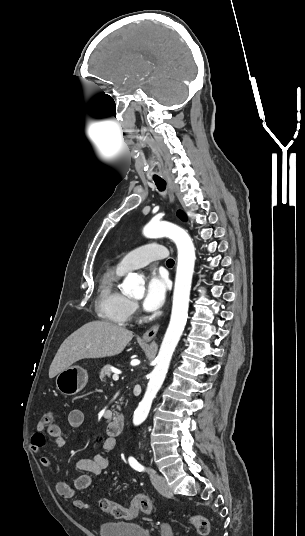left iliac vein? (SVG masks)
<instances>
[{"mask_svg": "<svg viewBox=\"0 0 305 536\" xmlns=\"http://www.w3.org/2000/svg\"><path fill=\"white\" fill-rule=\"evenodd\" d=\"M148 472L150 474L152 484L160 493L164 495L171 493V489L168 486L165 477L156 474L154 469H150Z\"/></svg>", "mask_w": 305, "mask_h": 536, "instance_id": "4c4485c4", "label": "left iliac vein"}]
</instances>
